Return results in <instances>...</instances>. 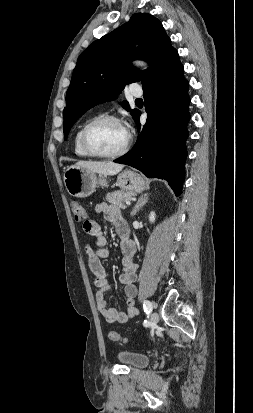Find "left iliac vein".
Returning <instances> with one entry per match:
<instances>
[{"instance_id": "4c4485c4", "label": "left iliac vein", "mask_w": 253, "mask_h": 413, "mask_svg": "<svg viewBox=\"0 0 253 413\" xmlns=\"http://www.w3.org/2000/svg\"><path fill=\"white\" fill-rule=\"evenodd\" d=\"M159 320V315L157 312H153L150 317V325L155 326Z\"/></svg>"}]
</instances>
